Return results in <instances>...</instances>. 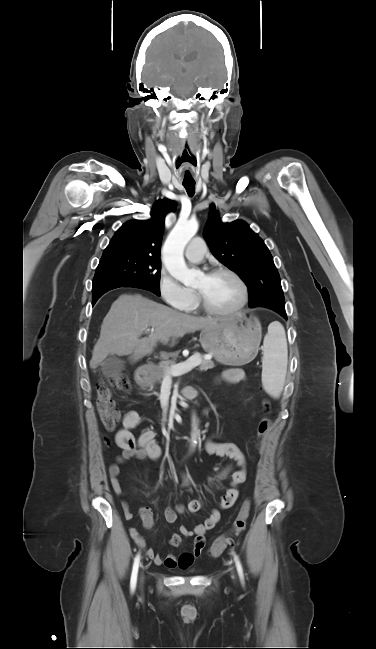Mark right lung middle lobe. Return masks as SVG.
I'll list each match as a JSON object with an SVG mask.
<instances>
[{
	"mask_svg": "<svg viewBox=\"0 0 376 649\" xmlns=\"http://www.w3.org/2000/svg\"><path fill=\"white\" fill-rule=\"evenodd\" d=\"M160 256L140 253L103 255L93 279L92 292L105 286L144 287L160 295Z\"/></svg>",
	"mask_w": 376,
	"mask_h": 649,
	"instance_id": "obj_1",
	"label": "right lung middle lobe"
}]
</instances>
